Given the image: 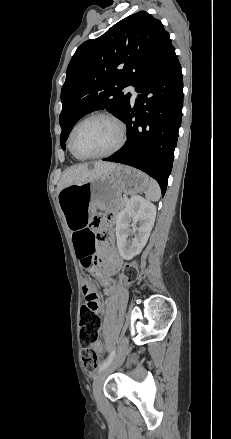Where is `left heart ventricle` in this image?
<instances>
[{
    "label": "left heart ventricle",
    "instance_id": "obj_1",
    "mask_svg": "<svg viewBox=\"0 0 231 439\" xmlns=\"http://www.w3.org/2000/svg\"><path fill=\"white\" fill-rule=\"evenodd\" d=\"M118 140L117 127L108 119L93 118L78 127L73 146L80 155L99 154L111 149Z\"/></svg>",
    "mask_w": 231,
    "mask_h": 439
}]
</instances>
